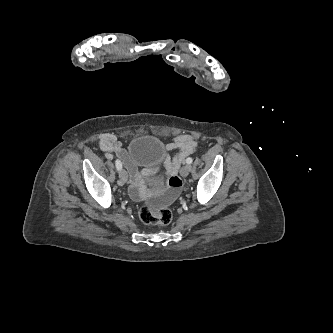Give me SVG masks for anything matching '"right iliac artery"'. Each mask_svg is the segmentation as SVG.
Wrapping results in <instances>:
<instances>
[{
	"label": "right iliac artery",
	"instance_id": "right-iliac-artery-1",
	"mask_svg": "<svg viewBox=\"0 0 333 333\" xmlns=\"http://www.w3.org/2000/svg\"><path fill=\"white\" fill-rule=\"evenodd\" d=\"M115 164H116V168H117V170H121L122 169V163H121V161L120 160H116L115 161Z\"/></svg>",
	"mask_w": 333,
	"mask_h": 333
}]
</instances>
